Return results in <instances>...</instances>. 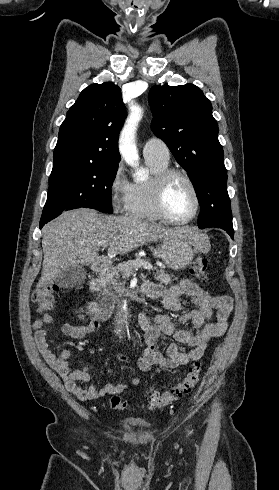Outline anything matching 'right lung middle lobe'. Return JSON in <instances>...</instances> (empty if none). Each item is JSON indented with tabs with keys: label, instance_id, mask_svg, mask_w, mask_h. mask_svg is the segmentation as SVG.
I'll return each instance as SVG.
<instances>
[{
	"label": "right lung middle lobe",
	"instance_id": "right-lung-middle-lobe-1",
	"mask_svg": "<svg viewBox=\"0 0 279 490\" xmlns=\"http://www.w3.org/2000/svg\"><path fill=\"white\" fill-rule=\"evenodd\" d=\"M118 161H83L54 165L41 221H50L63 211L85 207L113 213L111 188Z\"/></svg>",
	"mask_w": 279,
	"mask_h": 490
}]
</instances>
